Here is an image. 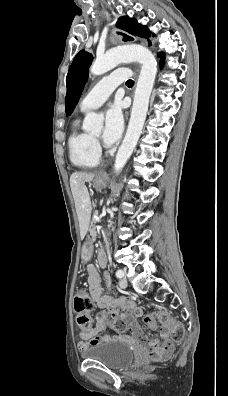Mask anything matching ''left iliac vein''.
<instances>
[{
	"instance_id": "4c4485c4",
	"label": "left iliac vein",
	"mask_w": 228,
	"mask_h": 396,
	"mask_svg": "<svg viewBox=\"0 0 228 396\" xmlns=\"http://www.w3.org/2000/svg\"><path fill=\"white\" fill-rule=\"evenodd\" d=\"M128 285L127 279L125 277H122L120 282H119V286L123 289H125Z\"/></svg>"
}]
</instances>
